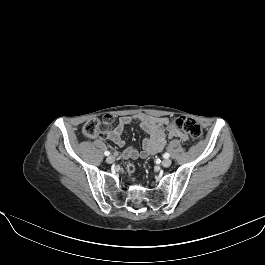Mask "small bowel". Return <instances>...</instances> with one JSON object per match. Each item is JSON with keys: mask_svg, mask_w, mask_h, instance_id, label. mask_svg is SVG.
<instances>
[{"mask_svg": "<svg viewBox=\"0 0 265 265\" xmlns=\"http://www.w3.org/2000/svg\"><path fill=\"white\" fill-rule=\"evenodd\" d=\"M132 122L138 123L148 134V137L143 140L141 150L135 147L126 148L122 153L125 159L146 158L149 155L158 153L165 147L168 138H178L184 142L189 140L188 135L173 126L169 118L145 113L119 117L116 127L106 133L105 137L118 147H123L125 145L123 139L124 127Z\"/></svg>", "mask_w": 265, "mask_h": 265, "instance_id": "small-bowel-1", "label": "small bowel"}]
</instances>
